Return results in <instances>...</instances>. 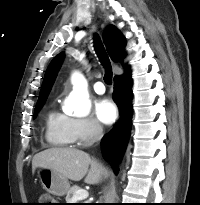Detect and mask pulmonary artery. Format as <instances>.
Segmentation results:
<instances>
[{
    "mask_svg": "<svg viewBox=\"0 0 200 205\" xmlns=\"http://www.w3.org/2000/svg\"><path fill=\"white\" fill-rule=\"evenodd\" d=\"M94 88V91L97 93V94H104L105 93V86L104 84L101 82V81H98L94 84L93 86Z\"/></svg>",
    "mask_w": 200,
    "mask_h": 205,
    "instance_id": "e3ab8cb5",
    "label": "pulmonary artery"
}]
</instances>
